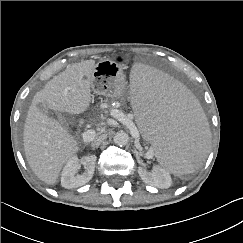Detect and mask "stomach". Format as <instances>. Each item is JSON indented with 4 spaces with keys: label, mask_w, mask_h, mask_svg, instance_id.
<instances>
[{
    "label": "stomach",
    "mask_w": 243,
    "mask_h": 243,
    "mask_svg": "<svg viewBox=\"0 0 243 243\" xmlns=\"http://www.w3.org/2000/svg\"><path fill=\"white\" fill-rule=\"evenodd\" d=\"M91 88L95 94L124 101L126 81L122 68L112 60H100L92 74Z\"/></svg>",
    "instance_id": "0dacf381"
}]
</instances>
